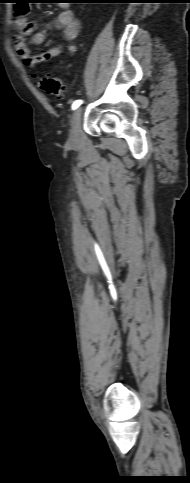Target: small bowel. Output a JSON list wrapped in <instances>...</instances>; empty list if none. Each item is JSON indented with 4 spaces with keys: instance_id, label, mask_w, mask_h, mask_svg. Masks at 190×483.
Returning a JSON list of instances; mask_svg holds the SVG:
<instances>
[{
    "instance_id": "1",
    "label": "small bowel",
    "mask_w": 190,
    "mask_h": 483,
    "mask_svg": "<svg viewBox=\"0 0 190 483\" xmlns=\"http://www.w3.org/2000/svg\"><path fill=\"white\" fill-rule=\"evenodd\" d=\"M28 13V8L26 7L25 13L23 15L16 13V36L14 40V47L18 57L21 59L23 64L31 69H34L39 63L50 60L54 57L59 56L64 51V44L59 43L49 50L40 53L32 54L26 44V37L29 36L34 28V23L26 19ZM57 25L63 31V39L68 42L67 50L70 54H74L76 51L75 46L72 42L76 39L80 25L75 17L73 11L65 9L62 10L57 16ZM46 39V33L39 31L36 32L32 37V43L34 45H41Z\"/></svg>"
}]
</instances>
